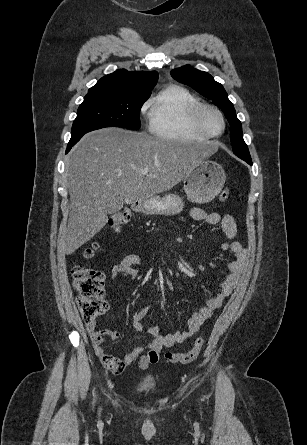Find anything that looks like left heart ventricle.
<instances>
[{"label": "left heart ventricle", "mask_w": 307, "mask_h": 445, "mask_svg": "<svg viewBox=\"0 0 307 445\" xmlns=\"http://www.w3.org/2000/svg\"><path fill=\"white\" fill-rule=\"evenodd\" d=\"M207 121L212 133L219 134L223 131L224 123L218 113L210 112L208 114Z\"/></svg>", "instance_id": "left-heart-ventricle-1"}]
</instances>
